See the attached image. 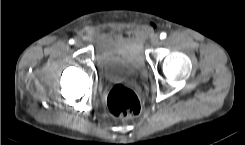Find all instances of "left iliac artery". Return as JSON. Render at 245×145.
Returning a JSON list of instances; mask_svg holds the SVG:
<instances>
[{"instance_id": "44dca946", "label": "left iliac artery", "mask_w": 245, "mask_h": 145, "mask_svg": "<svg viewBox=\"0 0 245 145\" xmlns=\"http://www.w3.org/2000/svg\"><path fill=\"white\" fill-rule=\"evenodd\" d=\"M166 38V33L165 32H162L161 34H160V39H165Z\"/></svg>"}]
</instances>
